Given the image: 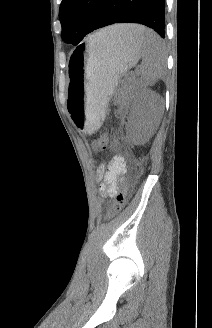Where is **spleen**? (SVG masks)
<instances>
[{
  "instance_id": "spleen-1",
  "label": "spleen",
  "mask_w": 212,
  "mask_h": 328,
  "mask_svg": "<svg viewBox=\"0 0 212 328\" xmlns=\"http://www.w3.org/2000/svg\"><path fill=\"white\" fill-rule=\"evenodd\" d=\"M135 39L140 47L142 64L140 74L143 86H152L164 73L166 56L165 46L161 38L152 30L142 26H135ZM90 41H98L95 37H90Z\"/></svg>"
}]
</instances>
